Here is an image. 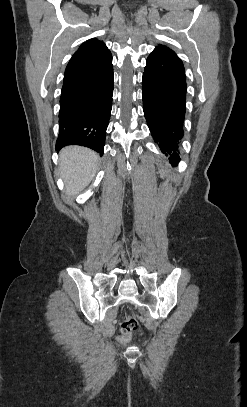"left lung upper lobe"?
I'll return each instance as SVG.
<instances>
[{
	"label": "left lung upper lobe",
	"instance_id": "5c2ea615",
	"mask_svg": "<svg viewBox=\"0 0 247 407\" xmlns=\"http://www.w3.org/2000/svg\"><path fill=\"white\" fill-rule=\"evenodd\" d=\"M156 49H161V50H165V51H169V52H173V53H174V51H172L171 49H169L168 47L163 46V45H158V46L156 47Z\"/></svg>",
	"mask_w": 247,
	"mask_h": 407
}]
</instances>
